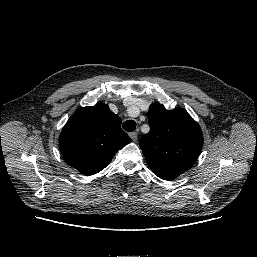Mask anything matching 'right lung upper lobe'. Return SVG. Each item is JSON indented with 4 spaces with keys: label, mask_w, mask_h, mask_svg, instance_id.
Masks as SVG:
<instances>
[{
    "label": "right lung upper lobe",
    "mask_w": 257,
    "mask_h": 257,
    "mask_svg": "<svg viewBox=\"0 0 257 257\" xmlns=\"http://www.w3.org/2000/svg\"><path fill=\"white\" fill-rule=\"evenodd\" d=\"M131 141L121 129V119L106 104L84 107L64 126L59 147L64 160L84 175L110 164L116 152Z\"/></svg>",
    "instance_id": "cb5924a9"
}]
</instances>
